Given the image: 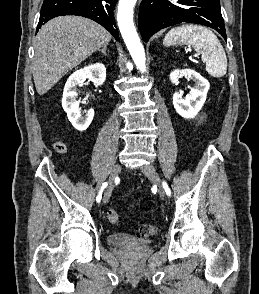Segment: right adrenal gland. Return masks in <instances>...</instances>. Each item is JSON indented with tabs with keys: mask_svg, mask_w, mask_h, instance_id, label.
<instances>
[{
	"mask_svg": "<svg viewBox=\"0 0 259 294\" xmlns=\"http://www.w3.org/2000/svg\"><path fill=\"white\" fill-rule=\"evenodd\" d=\"M106 49H107V45L103 46V47H102L101 49H99L98 51H100L103 55H107Z\"/></svg>",
	"mask_w": 259,
	"mask_h": 294,
	"instance_id": "1",
	"label": "right adrenal gland"
}]
</instances>
